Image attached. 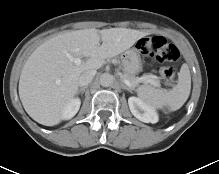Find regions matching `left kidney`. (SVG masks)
I'll return each instance as SVG.
<instances>
[{
    "instance_id": "left-kidney-1",
    "label": "left kidney",
    "mask_w": 219,
    "mask_h": 174,
    "mask_svg": "<svg viewBox=\"0 0 219 174\" xmlns=\"http://www.w3.org/2000/svg\"><path fill=\"white\" fill-rule=\"evenodd\" d=\"M128 104L131 113L136 117L138 120L144 123H157L158 122V115L155 110L144 103L141 99L137 97H130L128 99Z\"/></svg>"
}]
</instances>
